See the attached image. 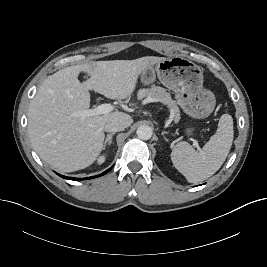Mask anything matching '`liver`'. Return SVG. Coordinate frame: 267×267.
Masks as SVG:
<instances>
[{"instance_id":"1","label":"liver","mask_w":267,"mask_h":267,"mask_svg":"<svg viewBox=\"0 0 267 267\" xmlns=\"http://www.w3.org/2000/svg\"><path fill=\"white\" fill-rule=\"evenodd\" d=\"M163 59L98 61L66 67L46 78L28 110V135L40 158L61 172L90 166L103 149L105 123L119 119L128 127L133 119L120 111L82 118L80 113L90 107L89 91L109 99H126L134 92L141 72ZM80 72L90 75V80L81 83Z\"/></svg>"}]
</instances>
